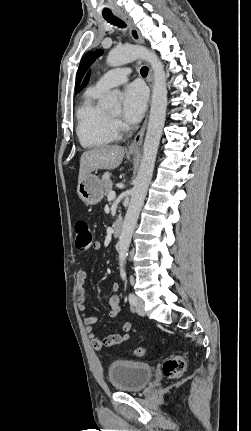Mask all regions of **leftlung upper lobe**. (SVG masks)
<instances>
[{
  "mask_svg": "<svg viewBox=\"0 0 251 431\" xmlns=\"http://www.w3.org/2000/svg\"><path fill=\"white\" fill-rule=\"evenodd\" d=\"M103 50L99 49L96 51H92L87 53L80 62L78 71H77V75H76V84H75V89L77 92V89L79 87V84L81 82V79L83 77V75L85 74V72L87 71V69L89 68V66L95 61V59L97 57H99L100 55H102Z\"/></svg>",
  "mask_w": 251,
  "mask_h": 431,
  "instance_id": "1",
  "label": "left lung upper lobe"
}]
</instances>
